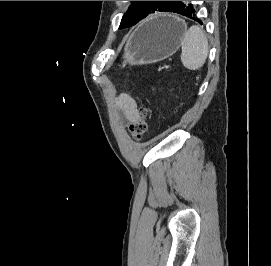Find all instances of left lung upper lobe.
<instances>
[{"instance_id":"1","label":"left lung upper lobe","mask_w":271,"mask_h":266,"mask_svg":"<svg viewBox=\"0 0 271 266\" xmlns=\"http://www.w3.org/2000/svg\"><path fill=\"white\" fill-rule=\"evenodd\" d=\"M177 1H132L124 14L119 28H125L138 23L148 15L164 11L168 12Z\"/></svg>"}]
</instances>
